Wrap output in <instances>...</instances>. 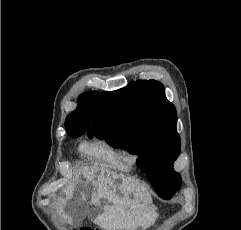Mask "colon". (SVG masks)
<instances>
[{"label": "colon", "instance_id": "5ec220e1", "mask_svg": "<svg viewBox=\"0 0 241 230\" xmlns=\"http://www.w3.org/2000/svg\"><path fill=\"white\" fill-rule=\"evenodd\" d=\"M82 230H93V229H91V228H83Z\"/></svg>", "mask_w": 241, "mask_h": 230}]
</instances>
